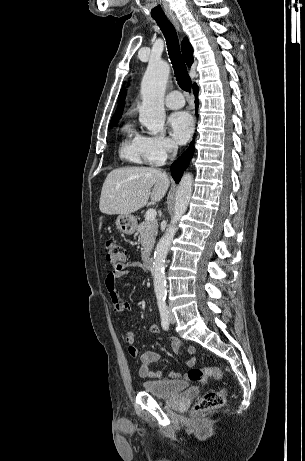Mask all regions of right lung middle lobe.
<instances>
[{
  "label": "right lung middle lobe",
  "instance_id": "right-lung-middle-lobe-1",
  "mask_svg": "<svg viewBox=\"0 0 305 461\" xmlns=\"http://www.w3.org/2000/svg\"><path fill=\"white\" fill-rule=\"evenodd\" d=\"M117 124V121H113L110 123V127L115 126Z\"/></svg>",
  "mask_w": 305,
  "mask_h": 461
}]
</instances>
